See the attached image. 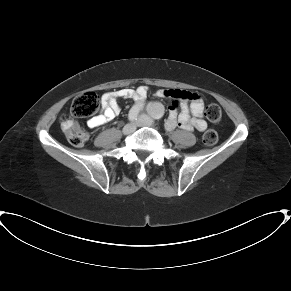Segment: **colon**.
Returning <instances> with one entry per match:
<instances>
[{"label":"colon","mask_w":291,"mask_h":291,"mask_svg":"<svg viewBox=\"0 0 291 291\" xmlns=\"http://www.w3.org/2000/svg\"><path fill=\"white\" fill-rule=\"evenodd\" d=\"M99 99L95 92L86 91L79 94L72 101L70 112L60 118V128L68 141L74 146H83L89 138V132L83 128L77 119L93 115L98 109ZM206 117L214 123L221 119V109L215 103H210L205 108ZM218 134L209 129L203 134V143L211 146L217 142Z\"/></svg>","instance_id":"obj_1"}]
</instances>
